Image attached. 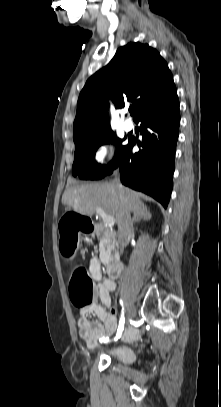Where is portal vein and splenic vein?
<instances>
[{"mask_svg":"<svg viewBox=\"0 0 221 407\" xmlns=\"http://www.w3.org/2000/svg\"><path fill=\"white\" fill-rule=\"evenodd\" d=\"M96 213L102 218L103 222L108 226H114L115 218L104 212L103 209L97 208Z\"/></svg>","mask_w":221,"mask_h":407,"instance_id":"obj_1","label":"portal vein and splenic vein"}]
</instances>
